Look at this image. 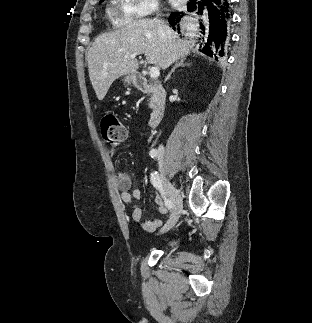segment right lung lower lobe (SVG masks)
<instances>
[{"label": "right lung lower lobe", "mask_w": 312, "mask_h": 323, "mask_svg": "<svg viewBox=\"0 0 312 323\" xmlns=\"http://www.w3.org/2000/svg\"><path fill=\"white\" fill-rule=\"evenodd\" d=\"M233 3L229 0H191L187 11H175L169 23L180 33L186 28H195L199 51L207 56H224L229 40Z\"/></svg>", "instance_id": "obj_1"}]
</instances>
